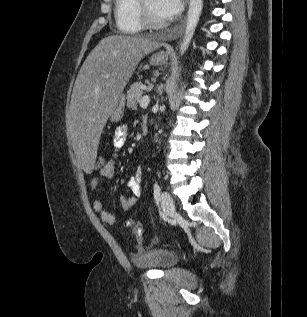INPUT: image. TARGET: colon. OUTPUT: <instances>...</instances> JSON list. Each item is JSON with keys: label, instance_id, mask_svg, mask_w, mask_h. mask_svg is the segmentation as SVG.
I'll list each match as a JSON object with an SVG mask.
<instances>
[{"label": "colon", "instance_id": "obj_1", "mask_svg": "<svg viewBox=\"0 0 307 317\" xmlns=\"http://www.w3.org/2000/svg\"><path fill=\"white\" fill-rule=\"evenodd\" d=\"M106 163L107 162H106L105 158L103 156L99 155V156H97V158L95 160L94 168L98 169V170H101L105 166ZM124 225L126 227L132 228L135 236L138 239L141 238V236H142V227H141V225L138 222H136V221H134L132 219H128V220H126L124 222Z\"/></svg>", "mask_w": 307, "mask_h": 317}]
</instances>
